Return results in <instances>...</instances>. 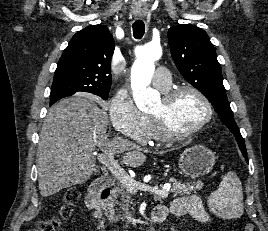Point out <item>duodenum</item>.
Instances as JSON below:
<instances>
[{"label": "duodenum", "instance_id": "1", "mask_svg": "<svg viewBox=\"0 0 268 231\" xmlns=\"http://www.w3.org/2000/svg\"><path fill=\"white\" fill-rule=\"evenodd\" d=\"M113 185L114 180L111 177H102L93 184L91 192L86 198L87 206L94 210V216L98 220L103 217V206L111 196ZM163 219H165L164 216L155 213L151 216V221L154 223Z\"/></svg>", "mask_w": 268, "mask_h": 231}]
</instances>
